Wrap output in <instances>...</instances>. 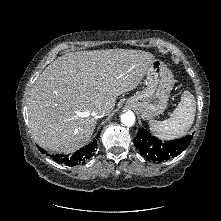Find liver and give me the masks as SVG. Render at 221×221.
<instances>
[{
    "instance_id": "1",
    "label": "liver",
    "mask_w": 221,
    "mask_h": 221,
    "mask_svg": "<svg viewBox=\"0 0 221 221\" xmlns=\"http://www.w3.org/2000/svg\"><path fill=\"white\" fill-rule=\"evenodd\" d=\"M154 60L141 50L107 49L64 54L49 64L28 99L29 129L50 152L68 154L91 138L96 107L107 114L116 97L132 91Z\"/></svg>"
}]
</instances>
